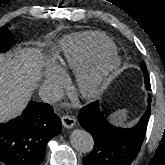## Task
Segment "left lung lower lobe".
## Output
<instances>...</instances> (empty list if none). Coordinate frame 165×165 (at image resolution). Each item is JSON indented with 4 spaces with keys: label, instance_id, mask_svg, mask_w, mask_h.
<instances>
[{
    "label": "left lung lower lobe",
    "instance_id": "1",
    "mask_svg": "<svg viewBox=\"0 0 165 165\" xmlns=\"http://www.w3.org/2000/svg\"><path fill=\"white\" fill-rule=\"evenodd\" d=\"M151 98L148 108L140 121L132 128L123 129L110 124L95 101L84 106L78 120L94 138V148L83 158L84 165H130L140 151L144 140L149 116Z\"/></svg>",
    "mask_w": 165,
    "mask_h": 165
}]
</instances>
